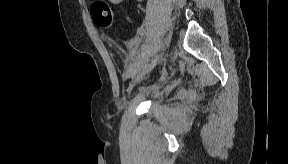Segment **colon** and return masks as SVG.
<instances>
[{
  "label": "colon",
  "mask_w": 288,
  "mask_h": 164,
  "mask_svg": "<svg viewBox=\"0 0 288 164\" xmlns=\"http://www.w3.org/2000/svg\"><path fill=\"white\" fill-rule=\"evenodd\" d=\"M92 11L94 22L101 28H109L114 25L116 15L108 4L102 2L95 3Z\"/></svg>",
  "instance_id": "obj_1"
}]
</instances>
